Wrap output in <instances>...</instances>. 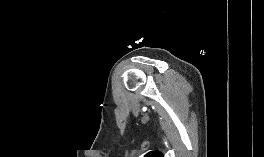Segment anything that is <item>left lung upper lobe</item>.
Instances as JSON below:
<instances>
[{"mask_svg":"<svg viewBox=\"0 0 264 157\" xmlns=\"http://www.w3.org/2000/svg\"><path fill=\"white\" fill-rule=\"evenodd\" d=\"M144 157H163V156L160 153L150 152L146 154Z\"/></svg>","mask_w":264,"mask_h":157,"instance_id":"obj_1","label":"left lung upper lobe"}]
</instances>
